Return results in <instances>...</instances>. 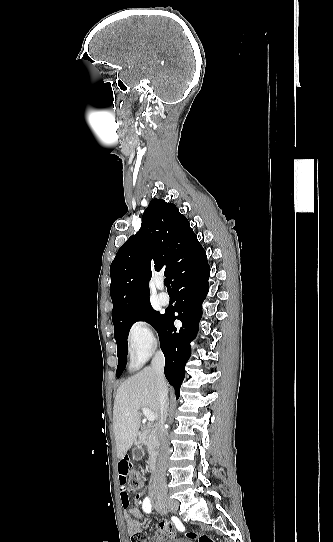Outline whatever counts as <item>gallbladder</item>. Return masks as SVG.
I'll list each match as a JSON object with an SVG mask.
<instances>
[{
	"label": "gallbladder",
	"mask_w": 333,
	"mask_h": 542,
	"mask_svg": "<svg viewBox=\"0 0 333 542\" xmlns=\"http://www.w3.org/2000/svg\"><path fill=\"white\" fill-rule=\"evenodd\" d=\"M143 456H145L144 448H142L141 444H136L132 450L133 460H142Z\"/></svg>",
	"instance_id": "bac80fb5"
}]
</instances>
